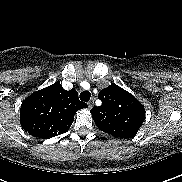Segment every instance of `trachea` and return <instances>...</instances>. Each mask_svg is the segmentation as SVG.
Instances as JSON below:
<instances>
[{
  "label": "trachea",
  "instance_id": "trachea-1",
  "mask_svg": "<svg viewBox=\"0 0 182 182\" xmlns=\"http://www.w3.org/2000/svg\"><path fill=\"white\" fill-rule=\"evenodd\" d=\"M90 97H91V93L89 91H83L80 93V99L82 101L87 102L89 101Z\"/></svg>",
  "mask_w": 182,
  "mask_h": 182
}]
</instances>
